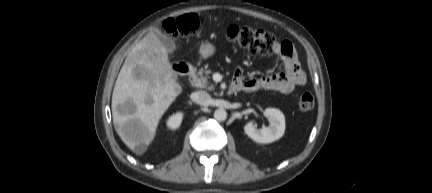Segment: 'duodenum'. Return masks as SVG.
<instances>
[{"label":"duodenum","instance_id":"duodenum-1","mask_svg":"<svg viewBox=\"0 0 432 193\" xmlns=\"http://www.w3.org/2000/svg\"><path fill=\"white\" fill-rule=\"evenodd\" d=\"M174 71L180 76H192L194 74L193 63L179 62L174 65ZM241 90V85L233 84L230 87V93Z\"/></svg>","mask_w":432,"mask_h":193}]
</instances>
